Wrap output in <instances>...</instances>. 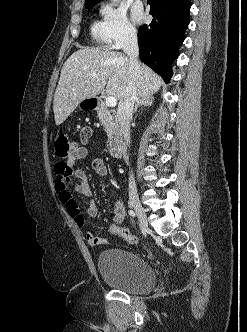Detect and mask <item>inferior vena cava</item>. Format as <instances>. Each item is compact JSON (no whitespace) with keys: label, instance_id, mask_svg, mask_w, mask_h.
Here are the masks:
<instances>
[{"label":"inferior vena cava","instance_id":"1","mask_svg":"<svg viewBox=\"0 0 247 332\" xmlns=\"http://www.w3.org/2000/svg\"><path fill=\"white\" fill-rule=\"evenodd\" d=\"M122 48L124 53L129 58L130 81L127 85L123 97L119 102L117 117L125 143L129 145L130 121L132 119L134 102L137 100L136 83L140 75V63L138 61L139 48H138V40L135 29H128L126 31ZM129 198L130 200H135L138 198L136 183L133 174H130L129 177Z\"/></svg>","mask_w":247,"mask_h":332}]
</instances>
